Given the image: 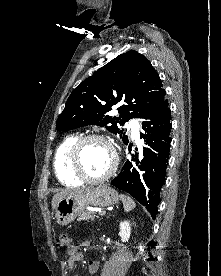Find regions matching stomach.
I'll use <instances>...</instances> for the list:
<instances>
[{
  "mask_svg": "<svg viewBox=\"0 0 221 276\" xmlns=\"http://www.w3.org/2000/svg\"><path fill=\"white\" fill-rule=\"evenodd\" d=\"M118 200V193L107 185H99L85 192L67 196L57 203V222L63 226L67 225L89 205L107 207L116 204Z\"/></svg>",
  "mask_w": 221,
  "mask_h": 276,
  "instance_id": "1",
  "label": "stomach"
}]
</instances>
